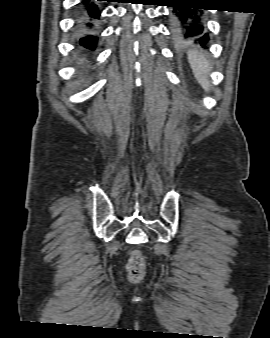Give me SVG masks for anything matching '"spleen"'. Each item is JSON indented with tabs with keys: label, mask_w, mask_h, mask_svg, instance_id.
Listing matches in <instances>:
<instances>
[{
	"label": "spleen",
	"mask_w": 270,
	"mask_h": 338,
	"mask_svg": "<svg viewBox=\"0 0 270 338\" xmlns=\"http://www.w3.org/2000/svg\"><path fill=\"white\" fill-rule=\"evenodd\" d=\"M188 61L195 78L205 91H210L211 84L208 73L211 71V64L202 51L189 50L187 53Z\"/></svg>",
	"instance_id": "3e777b00"
}]
</instances>
